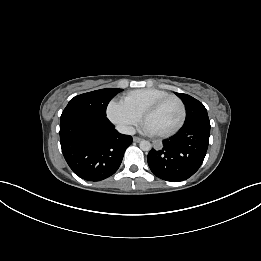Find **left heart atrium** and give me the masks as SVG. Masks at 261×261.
Wrapping results in <instances>:
<instances>
[{"mask_svg": "<svg viewBox=\"0 0 261 261\" xmlns=\"http://www.w3.org/2000/svg\"><path fill=\"white\" fill-rule=\"evenodd\" d=\"M144 129L148 133H154L147 125L144 126Z\"/></svg>", "mask_w": 261, "mask_h": 261, "instance_id": "left-heart-atrium-1", "label": "left heart atrium"}]
</instances>
